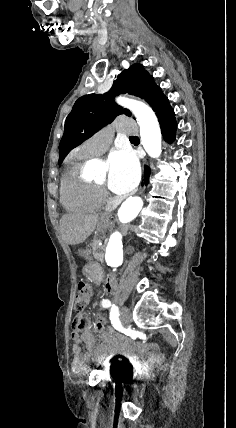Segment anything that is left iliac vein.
Instances as JSON below:
<instances>
[{
  "label": "left iliac vein",
  "mask_w": 236,
  "mask_h": 428,
  "mask_svg": "<svg viewBox=\"0 0 236 428\" xmlns=\"http://www.w3.org/2000/svg\"><path fill=\"white\" fill-rule=\"evenodd\" d=\"M122 310L123 311H122V317L120 318V323H122L125 326V328H129L131 325V318H130L131 314L129 313L130 311L126 306L123 307Z\"/></svg>",
  "instance_id": "1"
}]
</instances>
